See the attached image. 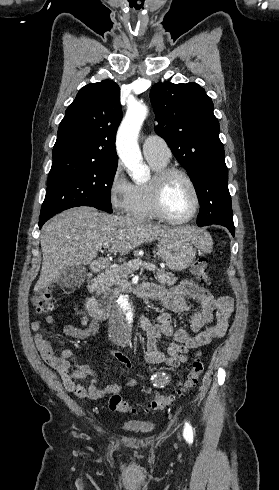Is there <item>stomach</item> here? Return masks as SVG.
I'll list each match as a JSON object with an SVG mask.
<instances>
[{
  "label": "stomach",
  "instance_id": "0dacf381",
  "mask_svg": "<svg viewBox=\"0 0 279 490\" xmlns=\"http://www.w3.org/2000/svg\"><path fill=\"white\" fill-rule=\"evenodd\" d=\"M158 254L172 272L187 270L196 258V250L192 240H187L180 234L161 240Z\"/></svg>",
  "mask_w": 279,
  "mask_h": 490
}]
</instances>
